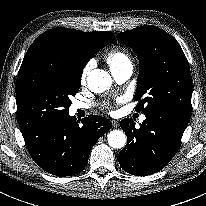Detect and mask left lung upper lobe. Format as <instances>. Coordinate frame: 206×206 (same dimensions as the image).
Listing matches in <instances>:
<instances>
[{
    "instance_id": "left-lung-upper-lobe-1",
    "label": "left lung upper lobe",
    "mask_w": 206,
    "mask_h": 206,
    "mask_svg": "<svg viewBox=\"0 0 206 206\" xmlns=\"http://www.w3.org/2000/svg\"><path fill=\"white\" fill-rule=\"evenodd\" d=\"M140 60L135 100L144 114L165 111L191 115L192 79L188 61L178 42L164 30L144 25L117 34Z\"/></svg>"
}]
</instances>
